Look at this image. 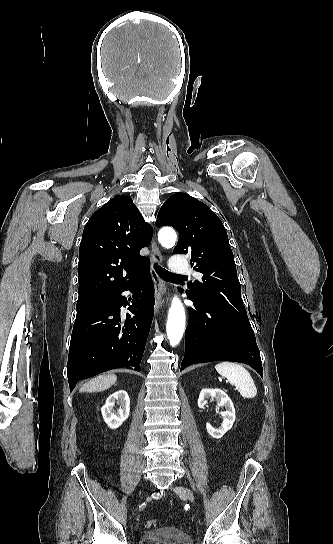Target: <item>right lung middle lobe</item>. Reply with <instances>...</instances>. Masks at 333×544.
Wrapping results in <instances>:
<instances>
[{"instance_id":"obj_1","label":"right lung middle lobe","mask_w":333,"mask_h":544,"mask_svg":"<svg viewBox=\"0 0 333 544\" xmlns=\"http://www.w3.org/2000/svg\"><path fill=\"white\" fill-rule=\"evenodd\" d=\"M113 298H114V295H104V296H98V297L78 301L76 305V310H77L76 319H80L94 313L95 311L102 308L104 305L111 302Z\"/></svg>"}]
</instances>
